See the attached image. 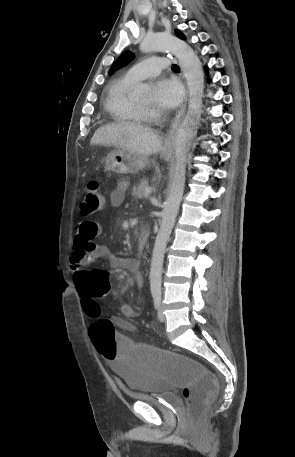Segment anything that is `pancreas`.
Instances as JSON below:
<instances>
[{
    "instance_id": "cf45deb5",
    "label": "pancreas",
    "mask_w": 295,
    "mask_h": 457,
    "mask_svg": "<svg viewBox=\"0 0 295 457\" xmlns=\"http://www.w3.org/2000/svg\"><path fill=\"white\" fill-rule=\"evenodd\" d=\"M148 187L147 181H141V183L137 186H134L132 189V196L135 198H143L144 197V190Z\"/></svg>"
}]
</instances>
